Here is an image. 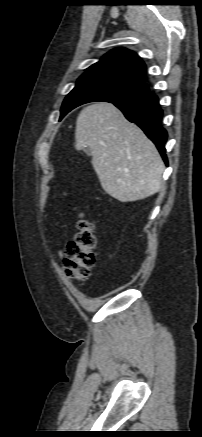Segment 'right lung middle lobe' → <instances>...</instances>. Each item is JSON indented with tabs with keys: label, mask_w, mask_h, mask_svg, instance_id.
Segmentation results:
<instances>
[{
	"label": "right lung middle lobe",
	"mask_w": 202,
	"mask_h": 437,
	"mask_svg": "<svg viewBox=\"0 0 202 437\" xmlns=\"http://www.w3.org/2000/svg\"><path fill=\"white\" fill-rule=\"evenodd\" d=\"M149 91L147 84L128 76L105 71L82 74L75 88L66 96L62 108V119L75 107L93 101L113 102L138 97Z\"/></svg>",
	"instance_id": "right-lung-middle-lobe-1"
}]
</instances>
